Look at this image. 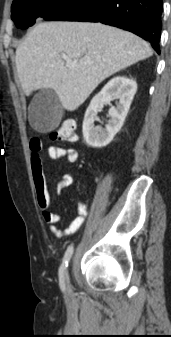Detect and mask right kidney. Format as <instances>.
Returning <instances> with one entry per match:
<instances>
[{
    "mask_svg": "<svg viewBox=\"0 0 171 337\" xmlns=\"http://www.w3.org/2000/svg\"><path fill=\"white\" fill-rule=\"evenodd\" d=\"M137 91V84L133 79L117 76L111 79L102 90L91 100L86 110L82 131L86 143L94 148L108 145L120 131L129 111L133 97ZM119 99L116 107H111L108 112L110 117L105 128L95 126L97 113L104 104L113 99Z\"/></svg>",
    "mask_w": 171,
    "mask_h": 337,
    "instance_id": "ca27d5eb",
    "label": "right kidney"
}]
</instances>
